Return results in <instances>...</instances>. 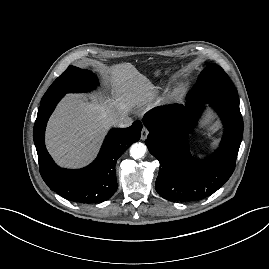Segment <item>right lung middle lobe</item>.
Listing matches in <instances>:
<instances>
[{"label": "right lung middle lobe", "instance_id": "right-lung-middle-lobe-1", "mask_svg": "<svg viewBox=\"0 0 269 269\" xmlns=\"http://www.w3.org/2000/svg\"><path fill=\"white\" fill-rule=\"evenodd\" d=\"M97 83L96 77L87 70L70 65L49 87L41 103L53 97L73 92L90 91Z\"/></svg>", "mask_w": 269, "mask_h": 269}]
</instances>
